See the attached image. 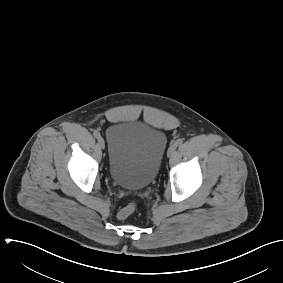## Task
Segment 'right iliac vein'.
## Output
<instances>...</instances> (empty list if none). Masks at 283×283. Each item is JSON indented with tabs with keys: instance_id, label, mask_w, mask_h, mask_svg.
Listing matches in <instances>:
<instances>
[{
	"instance_id": "1",
	"label": "right iliac vein",
	"mask_w": 283,
	"mask_h": 283,
	"mask_svg": "<svg viewBox=\"0 0 283 283\" xmlns=\"http://www.w3.org/2000/svg\"><path fill=\"white\" fill-rule=\"evenodd\" d=\"M98 145L101 149H104L105 148V142H104V139L102 137H100L98 139Z\"/></svg>"
}]
</instances>
